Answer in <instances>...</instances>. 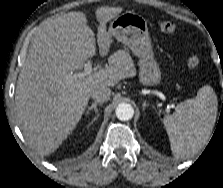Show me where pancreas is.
<instances>
[{"mask_svg": "<svg viewBox=\"0 0 223 188\" xmlns=\"http://www.w3.org/2000/svg\"><path fill=\"white\" fill-rule=\"evenodd\" d=\"M114 58H123L124 60H126L127 62L131 63V58L128 52L124 51V50H119L117 51L114 55Z\"/></svg>", "mask_w": 223, "mask_h": 188, "instance_id": "pancreas-1", "label": "pancreas"}]
</instances>
